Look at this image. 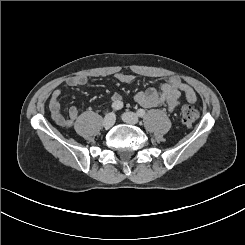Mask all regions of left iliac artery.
Returning a JSON list of instances; mask_svg holds the SVG:
<instances>
[{"instance_id": "44dca946", "label": "left iliac artery", "mask_w": 245, "mask_h": 245, "mask_svg": "<svg viewBox=\"0 0 245 245\" xmlns=\"http://www.w3.org/2000/svg\"><path fill=\"white\" fill-rule=\"evenodd\" d=\"M145 110L144 109H138L137 110V115L139 116V117H144L145 116Z\"/></svg>"}]
</instances>
